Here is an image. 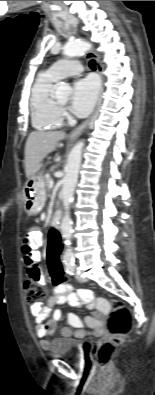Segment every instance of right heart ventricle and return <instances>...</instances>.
I'll list each match as a JSON object with an SVG mask.
<instances>
[{"instance_id": "e07e8e85", "label": "right heart ventricle", "mask_w": 155, "mask_h": 395, "mask_svg": "<svg viewBox=\"0 0 155 395\" xmlns=\"http://www.w3.org/2000/svg\"><path fill=\"white\" fill-rule=\"evenodd\" d=\"M57 81L48 72H43L38 75L31 88L30 117L32 126L37 130H53L62 124L60 110L56 107L52 96Z\"/></svg>"}]
</instances>
